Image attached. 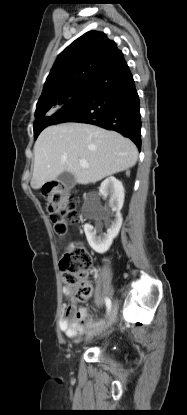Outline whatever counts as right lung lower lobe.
Wrapping results in <instances>:
<instances>
[{"label":"right lung lower lobe","mask_w":187,"mask_h":415,"mask_svg":"<svg viewBox=\"0 0 187 415\" xmlns=\"http://www.w3.org/2000/svg\"><path fill=\"white\" fill-rule=\"evenodd\" d=\"M139 107L133 76L121 54L90 78L83 92L53 115L52 124L80 122L114 130L130 138L140 150Z\"/></svg>","instance_id":"obj_1"}]
</instances>
